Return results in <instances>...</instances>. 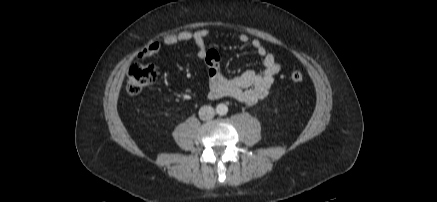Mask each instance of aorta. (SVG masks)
<instances>
[{
    "mask_svg": "<svg viewBox=\"0 0 437 202\" xmlns=\"http://www.w3.org/2000/svg\"><path fill=\"white\" fill-rule=\"evenodd\" d=\"M228 112V107L226 104L220 103L216 106V113L218 115H226Z\"/></svg>",
    "mask_w": 437,
    "mask_h": 202,
    "instance_id": "aorta-1",
    "label": "aorta"
}]
</instances>
